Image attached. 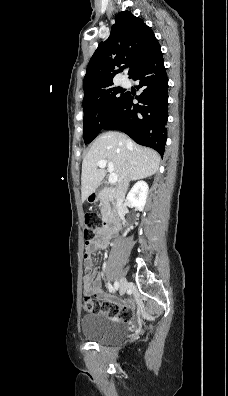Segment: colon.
I'll return each mask as SVG.
<instances>
[{"mask_svg": "<svg viewBox=\"0 0 228 396\" xmlns=\"http://www.w3.org/2000/svg\"><path fill=\"white\" fill-rule=\"evenodd\" d=\"M100 218L96 214L87 215L85 218L86 227L84 229V238L86 244L92 239L96 230L100 225ZM86 249V247H85ZM85 254V253H84ZM84 260L86 257L84 255ZM85 310L89 313H102L111 318H120L123 320H130L132 318V310L130 307L123 304H116L110 301H97L89 295L84 298Z\"/></svg>", "mask_w": 228, "mask_h": 396, "instance_id": "colon-1", "label": "colon"}]
</instances>
